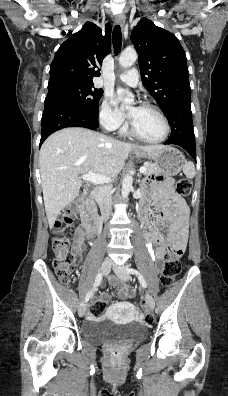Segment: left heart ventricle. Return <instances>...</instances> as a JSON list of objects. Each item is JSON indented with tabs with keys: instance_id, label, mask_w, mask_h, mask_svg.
Masks as SVG:
<instances>
[{
	"instance_id": "1",
	"label": "left heart ventricle",
	"mask_w": 228,
	"mask_h": 396,
	"mask_svg": "<svg viewBox=\"0 0 228 396\" xmlns=\"http://www.w3.org/2000/svg\"><path fill=\"white\" fill-rule=\"evenodd\" d=\"M130 112L134 114L132 124L140 135L151 140L158 139L163 135L162 120L155 112L141 106L132 107Z\"/></svg>"
}]
</instances>
